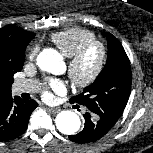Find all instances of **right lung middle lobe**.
<instances>
[{
	"mask_svg": "<svg viewBox=\"0 0 153 153\" xmlns=\"http://www.w3.org/2000/svg\"><path fill=\"white\" fill-rule=\"evenodd\" d=\"M22 67H23V63H22L18 68H16V69L5 68V69L3 70V73L13 82V81H14V80H13V75H14L16 72L20 71V70L22 69Z\"/></svg>",
	"mask_w": 153,
	"mask_h": 153,
	"instance_id": "right-lung-middle-lobe-1",
	"label": "right lung middle lobe"
}]
</instances>
